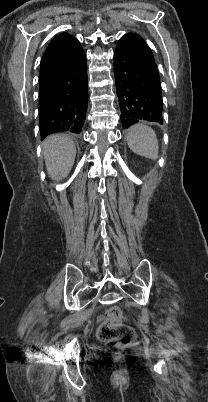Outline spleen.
Segmentation results:
<instances>
[{
  "instance_id": "1",
  "label": "spleen",
  "mask_w": 208,
  "mask_h": 402,
  "mask_svg": "<svg viewBox=\"0 0 208 402\" xmlns=\"http://www.w3.org/2000/svg\"><path fill=\"white\" fill-rule=\"evenodd\" d=\"M127 144L138 156L157 160L159 152V144L156 134L149 126L144 124H136L132 126L127 134Z\"/></svg>"
}]
</instances>
